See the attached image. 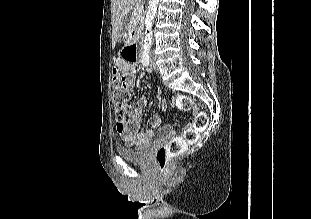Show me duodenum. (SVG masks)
Returning a JSON list of instances; mask_svg holds the SVG:
<instances>
[{"label":"duodenum","mask_w":311,"mask_h":219,"mask_svg":"<svg viewBox=\"0 0 311 219\" xmlns=\"http://www.w3.org/2000/svg\"><path fill=\"white\" fill-rule=\"evenodd\" d=\"M138 44H139V35H138V30L135 28V29L130 30L128 33L129 49L134 50L135 53L137 54L138 51L140 52L138 48Z\"/></svg>","instance_id":"410a0bca"}]
</instances>
